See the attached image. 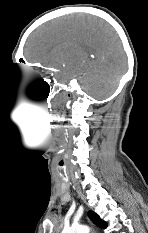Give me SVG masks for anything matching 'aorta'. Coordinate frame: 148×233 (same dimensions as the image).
Returning <instances> with one entry per match:
<instances>
[{
  "mask_svg": "<svg viewBox=\"0 0 148 233\" xmlns=\"http://www.w3.org/2000/svg\"><path fill=\"white\" fill-rule=\"evenodd\" d=\"M90 228L86 225H73L69 228H65L62 233H89Z\"/></svg>",
  "mask_w": 148,
  "mask_h": 233,
  "instance_id": "1",
  "label": "aorta"
}]
</instances>
